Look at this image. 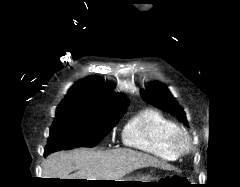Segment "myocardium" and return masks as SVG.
<instances>
[{"label":"myocardium","instance_id":"f54148a6","mask_svg":"<svg viewBox=\"0 0 240 187\" xmlns=\"http://www.w3.org/2000/svg\"><path fill=\"white\" fill-rule=\"evenodd\" d=\"M172 146L179 155L187 153L191 149L189 135L182 129H178L172 136Z\"/></svg>","mask_w":240,"mask_h":187}]
</instances>
